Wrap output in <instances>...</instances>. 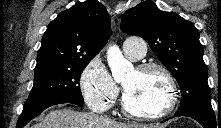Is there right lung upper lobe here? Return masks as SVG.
Listing matches in <instances>:
<instances>
[{"label": "right lung upper lobe", "instance_id": "obj_1", "mask_svg": "<svg viewBox=\"0 0 221 128\" xmlns=\"http://www.w3.org/2000/svg\"><path fill=\"white\" fill-rule=\"evenodd\" d=\"M110 17L97 0L62 11L47 27L35 70L92 60L111 36Z\"/></svg>", "mask_w": 221, "mask_h": 128}]
</instances>
